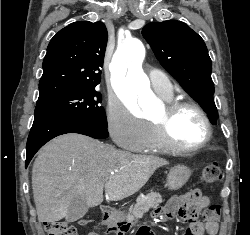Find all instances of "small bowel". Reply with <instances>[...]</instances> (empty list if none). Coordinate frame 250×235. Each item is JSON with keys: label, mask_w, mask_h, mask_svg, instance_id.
I'll return each instance as SVG.
<instances>
[{"label": "small bowel", "mask_w": 250, "mask_h": 235, "mask_svg": "<svg viewBox=\"0 0 250 235\" xmlns=\"http://www.w3.org/2000/svg\"><path fill=\"white\" fill-rule=\"evenodd\" d=\"M209 203V197L203 195L200 191H189L183 197L172 198L165 206L157 208L153 213V218L171 219L180 215L186 223L182 229L181 235H216L218 232V224L204 225L197 220V214L207 207ZM88 235L98 234L93 232Z\"/></svg>", "instance_id": "obj_1"}]
</instances>
